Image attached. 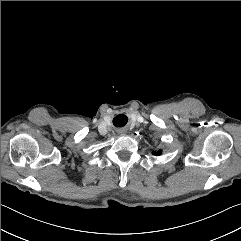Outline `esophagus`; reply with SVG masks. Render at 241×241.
Wrapping results in <instances>:
<instances>
[{
  "label": "esophagus",
  "mask_w": 241,
  "mask_h": 241,
  "mask_svg": "<svg viewBox=\"0 0 241 241\" xmlns=\"http://www.w3.org/2000/svg\"><path fill=\"white\" fill-rule=\"evenodd\" d=\"M119 133H120V134H124V133H125V131H124V130H122V131H119Z\"/></svg>",
  "instance_id": "34e87169"
}]
</instances>
